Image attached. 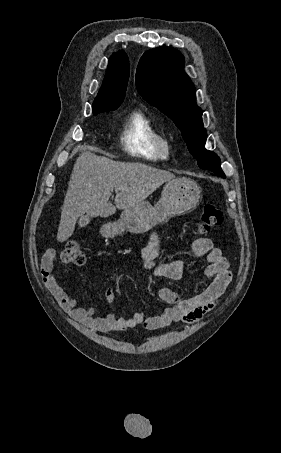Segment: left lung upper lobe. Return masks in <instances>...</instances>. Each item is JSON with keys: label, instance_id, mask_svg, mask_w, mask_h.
I'll use <instances>...</instances> for the list:
<instances>
[{"label": "left lung upper lobe", "instance_id": "left-lung-upper-lobe-1", "mask_svg": "<svg viewBox=\"0 0 281 453\" xmlns=\"http://www.w3.org/2000/svg\"><path fill=\"white\" fill-rule=\"evenodd\" d=\"M183 64L181 53L171 47L145 52L136 71L138 92L174 121L200 168L223 174L220 158L205 149L207 133L202 110L196 104L195 87Z\"/></svg>", "mask_w": 281, "mask_h": 453}]
</instances>
